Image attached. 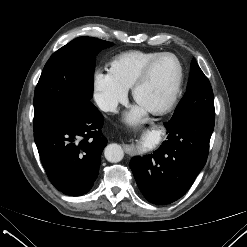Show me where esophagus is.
I'll return each mask as SVG.
<instances>
[{
    "instance_id": "1",
    "label": "esophagus",
    "mask_w": 247,
    "mask_h": 247,
    "mask_svg": "<svg viewBox=\"0 0 247 247\" xmlns=\"http://www.w3.org/2000/svg\"><path fill=\"white\" fill-rule=\"evenodd\" d=\"M125 150H126L127 153L131 152V150L128 148V146H125Z\"/></svg>"
}]
</instances>
